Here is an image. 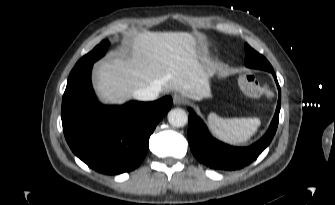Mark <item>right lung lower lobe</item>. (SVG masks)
<instances>
[{
	"label": "right lung lower lobe",
	"instance_id": "right-lung-lower-lobe-1",
	"mask_svg": "<svg viewBox=\"0 0 335 205\" xmlns=\"http://www.w3.org/2000/svg\"><path fill=\"white\" fill-rule=\"evenodd\" d=\"M92 65L69 75L62 99V126L73 153L103 174L134 170L144 159L149 137L170 110L172 98L106 106L91 86Z\"/></svg>",
	"mask_w": 335,
	"mask_h": 205
}]
</instances>
